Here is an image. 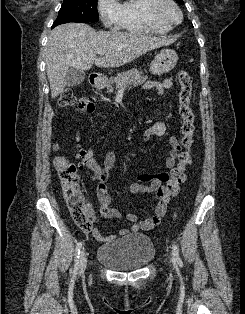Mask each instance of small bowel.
Masks as SVG:
<instances>
[{"label": "small bowel", "instance_id": "small-bowel-1", "mask_svg": "<svg viewBox=\"0 0 245 314\" xmlns=\"http://www.w3.org/2000/svg\"><path fill=\"white\" fill-rule=\"evenodd\" d=\"M173 82L171 79H165L162 82L147 81L144 83L143 87L145 89L154 88L157 90L158 94H163L166 89L171 88ZM79 111L88 117H90L94 110V104L87 98L80 99ZM167 135V127L164 122L156 121L151 126H149L144 131V140L149 141L153 137H164ZM78 140H80V135H78ZM168 144L170 146L169 154L164 161L166 168L172 169L176 164V159L182 149L179 140L175 136H170L168 139ZM80 154L82 156L84 164L96 175L99 183L96 188L97 198L100 202V215L103 218L111 220H119L123 216L115 208L110 206L111 198L108 192V187L106 182L109 179L110 171L116 162V153L113 151L108 152L105 155L103 166H101L96 158L93 148L85 149L80 148ZM170 177L168 172H159L154 175L142 174L138 177V182L131 183L128 190L132 194L148 195L155 192L162 183L167 182ZM87 211L91 214V209L87 205ZM166 212V207L160 210V205L158 204L155 213L146 216V218L138 222V215L136 213H127L124 218L131 223L130 229H122L117 234L114 235H103L99 229L93 228L89 233L98 241L103 243H111L115 241L118 237L126 235L131 232L148 231L153 227L157 226L162 217Z\"/></svg>", "mask_w": 245, "mask_h": 314}]
</instances>
